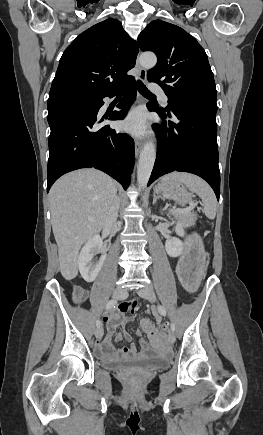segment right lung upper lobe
Wrapping results in <instances>:
<instances>
[{"instance_id":"right-lung-upper-lobe-1","label":"right lung upper lobe","mask_w":263,"mask_h":435,"mask_svg":"<svg viewBox=\"0 0 263 435\" xmlns=\"http://www.w3.org/2000/svg\"><path fill=\"white\" fill-rule=\"evenodd\" d=\"M136 41L120 21L106 19L81 33L64 51L52 82L48 106L93 100L116 91L133 76Z\"/></svg>"}]
</instances>
